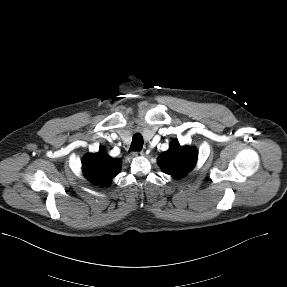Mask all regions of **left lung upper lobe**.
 <instances>
[{
    "label": "left lung upper lobe",
    "mask_w": 287,
    "mask_h": 287,
    "mask_svg": "<svg viewBox=\"0 0 287 287\" xmlns=\"http://www.w3.org/2000/svg\"><path fill=\"white\" fill-rule=\"evenodd\" d=\"M198 153L196 148L181 146L178 140H174L169 149L158 157L161 169L174 178H180L195 166Z\"/></svg>",
    "instance_id": "left-lung-upper-lobe-1"
}]
</instances>
